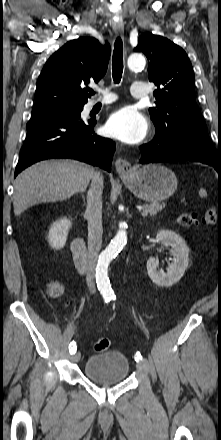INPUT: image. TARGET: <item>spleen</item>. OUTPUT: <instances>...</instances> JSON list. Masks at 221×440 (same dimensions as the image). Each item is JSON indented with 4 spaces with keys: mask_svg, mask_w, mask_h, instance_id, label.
I'll return each mask as SVG.
<instances>
[{
    "mask_svg": "<svg viewBox=\"0 0 221 440\" xmlns=\"http://www.w3.org/2000/svg\"><path fill=\"white\" fill-rule=\"evenodd\" d=\"M199 195H200V197H207V192H206V190L205 189H203V188H201L200 189V191H199Z\"/></svg>",
    "mask_w": 221,
    "mask_h": 440,
    "instance_id": "obj_1",
    "label": "spleen"
}]
</instances>
